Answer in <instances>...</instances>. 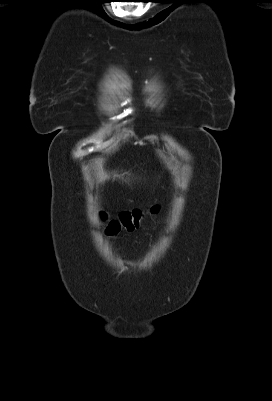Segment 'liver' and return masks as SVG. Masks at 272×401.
<instances>
[{"instance_id":"obj_1","label":"liver","mask_w":272,"mask_h":401,"mask_svg":"<svg viewBox=\"0 0 272 401\" xmlns=\"http://www.w3.org/2000/svg\"><path fill=\"white\" fill-rule=\"evenodd\" d=\"M99 177L101 180H105L106 178H108V176L104 173H100Z\"/></svg>"}]
</instances>
